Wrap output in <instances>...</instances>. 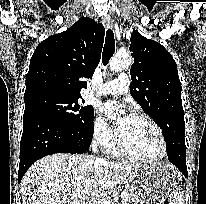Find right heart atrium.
<instances>
[{
	"label": "right heart atrium",
	"mask_w": 206,
	"mask_h": 204,
	"mask_svg": "<svg viewBox=\"0 0 206 204\" xmlns=\"http://www.w3.org/2000/svg\"><path fill=\"white\" fill-rule=\"evenodd\" d=\"M93 137L105 151H112L117 144V135L115 131L100 116L95 118Z\"/></svg>",
	"instance_id": "1"
}]
</instances>
